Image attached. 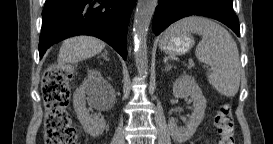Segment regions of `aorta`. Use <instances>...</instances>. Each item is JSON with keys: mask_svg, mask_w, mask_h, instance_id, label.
<instances>
[{"mask_svg": "<svg viewBox=\"0 0 273 144\" xmlns=\"http://www.w3.org/2000/svg\"><path fill=\"white\" fill-rule=\"evenodd\" d=\"M156 6L157 0H138L134 16V54L141 75H144L148 69L147 33Z\"/></svg>", "mask_w": 273, "mask_h": 144, "instance_id": "1", "label": "aorta"}]
</instances>
